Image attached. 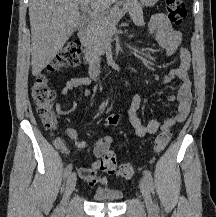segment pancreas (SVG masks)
<instances>
[{
	"label": "pancreas",
	"instance_id": "1",
	"mask_svg": "<svg viewBox=\"0 0 216 217\" xmlns=\"http://www.w3.org/2000/svg\"><path fill=\"white\" fill-rule=\"evenodd\" d=\"M121 5L127 8L131 19L137 26H144L143 11L137 0H125ZM120 11L116 6L100 20H93L87 27L86 45L93 51L95 57H100L105 53L107 37L110 29L114 27L115 16Z\"/></svg>",
	"mask_w": 216,
	"mask_h": 217
}]
</instances>
